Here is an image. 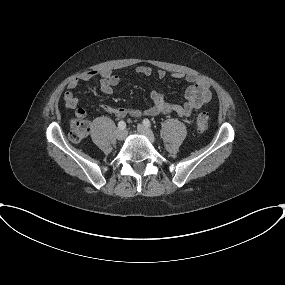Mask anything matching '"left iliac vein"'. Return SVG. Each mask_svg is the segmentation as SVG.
I'll use <instances>...</instances> for the list:
<instances>
[{
	"mask_svg": "<svg viewBox=\"0 0 285 285\" xmlns=\"http://www.w3.org/2000/svg\"><path fill=\"white\" fill-rule=\"evenodd\" d=\"M137 131L141 135L146 136L151 142L155 141V138H154V135H153L152 131L150 129H148L147 127H145L144 125L138 124Z\"/></svg>",
	"mask_w": 285,
	"mask_h": 285,
	"instance_id": "obj_1",
	"label": "left iliac vein"
}]
</instances>
